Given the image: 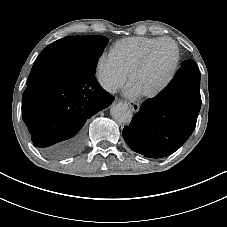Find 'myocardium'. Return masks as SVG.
<instances>
[{
	"label": "myocardium",
	"mask_w": 227,
	"mask_h": 227,
	"mask_svg": "<svg viewBox=\"0 0 227 227\" xmlns=\"http://www.w3.org/2000/svg\"><path fill=\"white\" fill-rule=\"evenodd\" d=\"M162 42H169L171 43L174 48H175V58L174 61L165 77V79L163 80V82L157 86L155 89H153L152 91L143 94L142 96L145 98H155L158 95H160L168 86L169 84L172 82L178 66L180 64V60H181V51H180V47L178 45V43L169 37H163V38H159L158 40H156L155 42H153L150 46H148L145 50V52L143 53V55L141 56V58L135 63V65L132 67V69L129 72V76H128V81L131 84V81L133 79V77L140 71L142 70L145 65L147 64L149 57L153 51V49L160 43Z\"/></svg>",
	"instance_id": "f54148a6"
}]
</instances>
